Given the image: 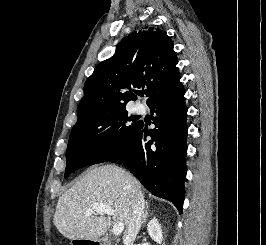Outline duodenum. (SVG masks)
Segmentation results:
<instances>
[{"label":"duodenum","instance_id":"410a0bca","mask_svg":"<svg viewBox=\"0 0 266 245\" xmlns=\"http://www.w3.org/2000/svg\"><path fill=\"white\" fill-rule=\"evenodd\" d=\"M75 245H118L104 237H74Z\"/></svg>","mask_w":266,"mask_h":245}]
</instances>
